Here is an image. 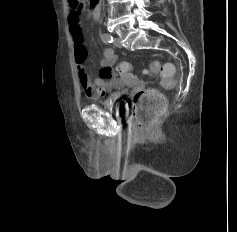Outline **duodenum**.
Segmentation results:
<instances>
[{"label":"duodenum","instance_id":"obj_1","mask_svg":"<svg viewBox=\"0 0 237 232\" xmlns=\"http://www.w3.org/2000/svg\"><path fill=\"white\" fill-rule=\"evenodd\" d=\"M99 0H90V4L93 7H96L98 5Z\"/></svg>","mask_w":237,"mask_h":232}]
</instances>
